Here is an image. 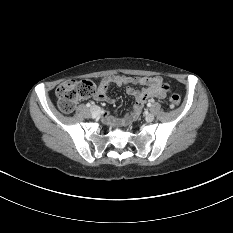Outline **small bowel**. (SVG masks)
Listing matches in <instances>:
<instances>
[{
	"mask_svg": "<svg viewBox=\"0 0 233 233\" xmlns=\"http://www.w3.org/2000/svg\"><path fill=\"white\" fill-rule=\"evenodd\" d=\"M111 84L117 86L128 85L126 92L135 99V104L132 110L123 119L124 123L136 120L148 99H163L168 91V87L163 83V79L160 76L136 77L127 75H109L99 82L97 90L94 93V99L101 102L113 103L114 100L107 94ZM133 85H141L142 88L137 90L132 87ZM105 119L111 124H114L115 122L109 115H105Z\"/></svg>",
	"mask_w": 233,
	"mask_h": 233,
	"instance_id": "small-bowel-1",
	"label": "small bowel"
}]
</instances>
